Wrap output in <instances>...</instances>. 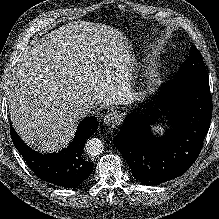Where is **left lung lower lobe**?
<instances>
[{
    "mask_svg": "<svg viewBox=\"0 0 219 219\" xmlns=\"http://www.w3.org/2000/svg\"><path fill=\"white\" fill-rule=\"evenodd\" d=\"M156 103L143 112L127 115L113 139L133 176L145 185H155L184 174L197 159L212 117L209 78L179 76L164 84ZM161 107V108H160ZM166 114L171 129L164 137L152 135L150 125Z\"/></svg>",
    "mask_w": 219,
    "mask_h": 219,
    "instance_id": "1",
    "label": "left lung lower lobe"
}]
</instances>
